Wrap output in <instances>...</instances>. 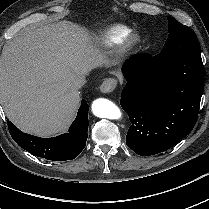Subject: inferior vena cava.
Instances as JSON below:
<instances>
[{"label":"inferior vena cava","instance_id":"1","mask_svg":"<svg viewBox=\"0 0 209 209\" xmlns=\"http://www.w3.org/2000/svg\"><path fill=\"white\" fill-rule=\"evenodd\" d=\"M86 83V78L84 75L76 77V79L73 81V88L78 90L80 89L84 84Z\"/></svg>","mask_w":209,"mask_h":209}]
</instances>
